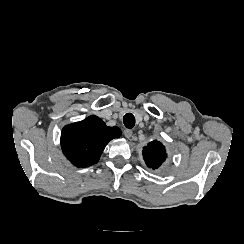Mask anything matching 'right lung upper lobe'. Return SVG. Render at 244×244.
<instances>
[{
    "instance_id": "1",
    "label": "right lung upper lobe",
    "mask_w": 244,
    "mask_h": 244,
    "mask_svg": "<svg viewBox=\"0 0 244 244\" xmlns=\"http://www.w3.org/2000/svg\"><path fill=\"white\" fill-rule=\"evenodd\" d=\"M120 135L118 127H108L100 118L92 115L63 128L61 147L73 165L88 167L97 163L108 142Z\"/></svg>"
}]
</instances>
